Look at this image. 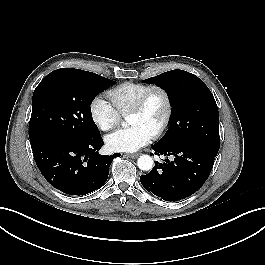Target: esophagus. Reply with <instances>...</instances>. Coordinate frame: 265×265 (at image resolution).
Instances as JSON below:
<instances>
[{
	"label": "esophagus",
	"instance_id": "34e87169",
	"mask_svg": "<svg viewBox=\"0 0 265 265\" xmlns=\"http://www.w3.org/2000/svg\"><path fill=\"white\" fill-rule=\"evenodd\" d=\"M125 156L135 159L139 156V154L138 153H136V154H125Z\"/></svg>",
	"mask_w": 265,
	"mask_h": 265
}]
</instances>
